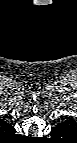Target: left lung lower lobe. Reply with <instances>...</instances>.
I'll list each match as a JSON object with an SVG mask.
<instances>
[{
    "label": "left lung lower lobe",
    "instance_id": "0a47b994",
    "mask_svg": "<svg viewBox=\"0 0 77 143\" xmlns=\"http://www.w3.org/2000/svg\"><path fill=\"white\" fill-rule=\"evenodd\" d=\"M55 129H53L52 130V132H51V134H52V137L54 138V137H59L61 134L59 133V134H57V133H55Z\"/></svg>",
    "mask_w": 77,
    "mask_h": 143
}]
</instances>
